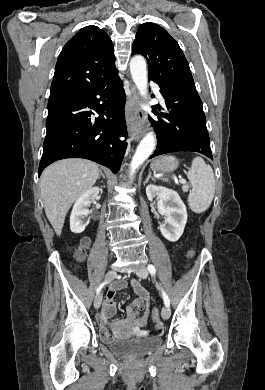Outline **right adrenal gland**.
<instances>
[{
    "label": "right adrenal gland",
    "mask_w": 265,
    "mask_h": 390,
    "mask_svg": "<svg viewBox=\"0 0 265 390\" xmlns=\"http://www.w3.org/2000/svg\"><path fill=\"white\" fill-rule=\"evenodd\" d=\"M101 176H102L103 179H105V176H104L102 170L100 169V176H99V179H100Z\"/></svg>",
    "instance_id": "1"
}]
</instances>
